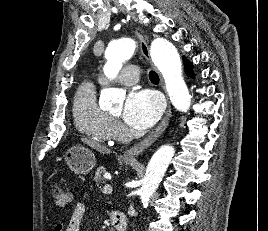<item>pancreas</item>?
Wrapping results in <instances>:
<instances>
[{"label": "pancreas", "mask_w": 268, "mask_h": 231, "mask_svg": "<svg viewBox=\"0 0 268 231\" xmlns=\"http://www.w3.org/2000/svg\"><path fill=\"white\" fill-rule=\"evenodd\" d=\"M105 172L104 167H98L95 171V177L94 180L96 181L97 185L104 184V178L102 176V173Z\"/></svg>", "instance_id": "obj_1"}]
</instances>
